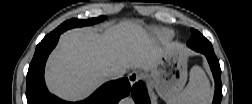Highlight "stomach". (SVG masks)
I'll return each instance as SVG.
<instances>
[{"mask_svg": "<svg viewBox=\"0 0 252 104\" xmlns=\"http://www.w3.org/2000/svg\"><path fill=\"white\" fill-rule=\"evenodd\" d=\"M187 54L179 48H165L150 70L157 93L168 103L184 88L187 80Z\"/></svg>", "mask_w": 252, "mask_h": 104, "instance_id": "obj_1", "label": "stomach"}]
</instances>
